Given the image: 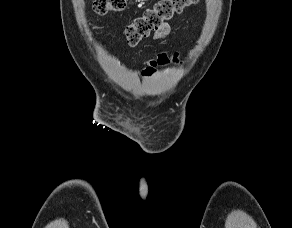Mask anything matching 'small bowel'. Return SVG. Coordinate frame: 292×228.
<instances>
[{
    "label": "small bowel",
    "instance_id": "c3829d8e",
    "mask_svg": "<svg viewBox=\"0 0 292 228\" xmlns=\"http://www.w3.org/2000/svg\"><path fill=\"white\" fill-rule=\"evenodd\" d=\"M170 31V26L168 23H164L159 30H157L154 34L155 39H162L168 35Z\"/></svg>",
    "mask_w": 292,
    "mask_h": 228
}]
</instances>
